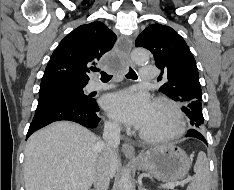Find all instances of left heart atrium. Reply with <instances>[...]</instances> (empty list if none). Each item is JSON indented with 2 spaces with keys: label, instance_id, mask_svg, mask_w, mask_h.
<instances>
[{
  "label": "left heart atrium",
  "instance_id": "1",
  "mask_svg": "<svg viewBox=\"0 0 234 190\" xmlns=\"http://www.w3.org/2000/svg\"><path fill=\"white\" fill-rule=\"evenodd\" d=\"M103 106L115 121L141 129L150 117L153 102L148 94L128 89L107 95Z\"/></svg>",
  "mask_w": 234,
  "mask_h": 190
}]
</instances>
